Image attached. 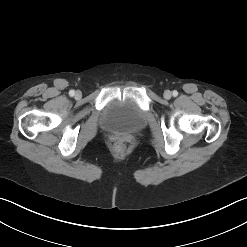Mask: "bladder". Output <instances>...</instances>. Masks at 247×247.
Listing matches in <instances>:
<instances>
[{
    "label": "bladder",
    "instance_id": "bladder-1",
    "mask_svg": "<svg viewBox=\"0 0 247 247\" xmlns=\"http://www.w3.org/2000/svg\"><path fill=\"white\" fill-rule=\"evenodd\" d=\"M100 123L107 132L133 134L145 127L146 117L130 98H114L104 107Z\"/></svg>",
    "mask_w": 247,
    "mask_h": 247
}]
</instances>
